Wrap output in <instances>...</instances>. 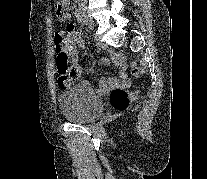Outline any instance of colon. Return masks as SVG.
Returning a JSON list of instances; mask_svg holds the SVG:
<instances>
[{
	"mask_svg": "<svg viewBox=\"0 0 207 179\" xmlns=\"http://www.w3.org/2000/svg\"><path fill=\"white\" fill-rule=\"evenodd\" d=\"M68 0H55V13L58 18H62L67 13ZM57 49L56 67L59 80L62 84L70 83L71 79L78 77L79 69L70 65L69 57L63 49L62 40H55ZM132 70L137 74L138 70L132 63ZM137 93H130L122 87L114 88L109 96L111 106L117 111H125L131 102L137 98Z\"/></svg>",
	"mask_w": 207,
	"mask_h": 179,
	"instance_id": "5ec220e1",
	"label": "colon"
}]
</instances>
